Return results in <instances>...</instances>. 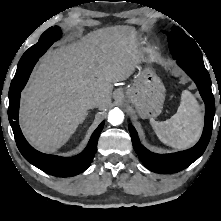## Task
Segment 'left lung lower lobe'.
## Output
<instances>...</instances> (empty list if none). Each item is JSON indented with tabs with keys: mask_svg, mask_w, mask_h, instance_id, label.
<instances>
[{
	"mask_svg": "<svg viewBox=\"0 0 221 221\" xmlns=\"http://www.w3.org/2000/svg\"><path fill=\"white\" fill-rule=\"evenodd\" d=\"M177 63L194 80L205 102V126L199 142L186 151L172 154H155L147 150L139 141L135 128L129 124L133 147L142 163L156 173H176L191 165L205 151L211 137L213 118L215 114L214 97L211 91L210 76L204 65L176 59Z\"/></svg>",
	"mask_w": 221,
	"mask_h": 221,
	"instance_id": "left-lung-lower-lobe-1",
	"label": "left lung lower lobe"
}]
</instances>
